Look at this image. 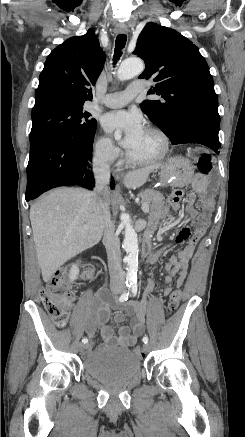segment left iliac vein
Returning a JSON list of instances; mask_svg holds the SVG:
<instances>
[{
  "label": "left iliac vein",
  "instance_id": "1",
  "mask_svg": "<svg viewBox=\"0 0 245 437\" xmlns=\"http://www.w3.org/2000/svg\"><path fill=\"white\" fill-rule=\"evenodd\" d=\"M143 350H144L145 352H148V351L150 350V345L145 343V344L143 345Z\"/></svg>",
  "mask_w": 245,
  "mask_h": 437
}]
</instances>
